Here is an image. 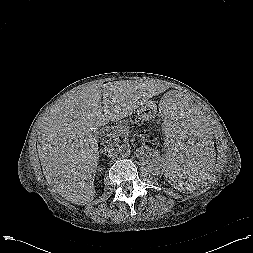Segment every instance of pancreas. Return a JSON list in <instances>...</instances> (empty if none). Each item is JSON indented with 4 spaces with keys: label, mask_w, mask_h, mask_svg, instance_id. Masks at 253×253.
<instances>
[{
    "label": "pancreas",
    "mask_w": 253,
    "mask_h": 253,
    "mask_svg": "<svg viewBox=\"0 0 253 253\" xmlns=\"http://www.w3.org/2000/svg\"><path fill=\"white\" fill-rule=\"evenodd\" d=\"M105 131L108 132L106 136L109 139H118L120 136L126 135L128 133V130L124 128L121 124L112 128H106Z\"/></svg>",
    "instance_id": "1"
}]
</instances>
